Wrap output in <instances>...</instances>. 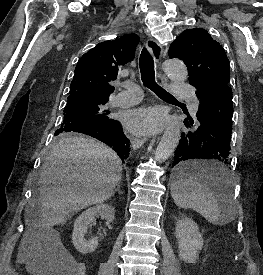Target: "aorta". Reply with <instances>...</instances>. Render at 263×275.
Listing matches in <instances>:
<instances>
[{
  "label": "aorta",
  "instance_id": "obj_1",
  "mask_svg": "<svg viewBox=\"0 0 263 275\" xmlns=\"http://www.w3.org/2000/svg\"><path fill=\"white\" fill-rule=\"evenodd\" d=\"M163 71L176 83H184L188 71L182 61L177 59L167 60L163 64ZM181 118H176L164 132L155 151V161L165 162L177 147L181 135Z\"/></svg>",
  "mask_w": 263,
  "mask_h": 275
}]
</instances>
